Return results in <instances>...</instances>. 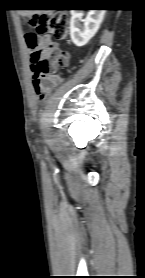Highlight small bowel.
Masks as SVG:
<instances>
[{"instance_id":"obj_1","label":"small bowel","mask_w":145,"mask_h":278,"mask_svg":"<svg viewBox=\"0 0 145 278\" xmlns=\"http://www.w3.org/2000/svg\"><path fill=\"white\" fill-rule=\"evenodd\" d=\"M39 41L41 43H53L54 45L58 46V43L56 41H54L49 35H43L38 37ZM56 77L58 78V83H54V84H49L48 81L53 78ZM63 81L62 77L55 74V75H46L43 79H41L40 81L36 82L35 80H33V85L35 86L36 84H38L39 88L45 93V94H49L57 85H59L61 82Z\"/></svg>"}]
</instances>
